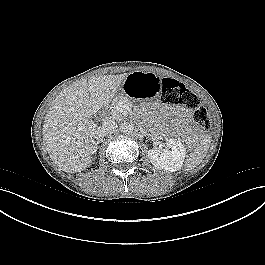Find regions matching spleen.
<instances>
[{
	"instance_id": "3e777b00",
	"label": "spleen",
	"mask_w": 265,
	"mask_h": 265,
	"mask_svg": "<svg viewBox=\"0 0 265 265\" xmlns=\"http://www.w3.org/2000/svg\"><path fill=\"white\" fill-rule=\"evenodd\" d=\"M210 144V137L203 139L195 150L186 158L185 168L187 170L193 169L198 166L205 157Z\"/></svg>"
}]
</instances>
